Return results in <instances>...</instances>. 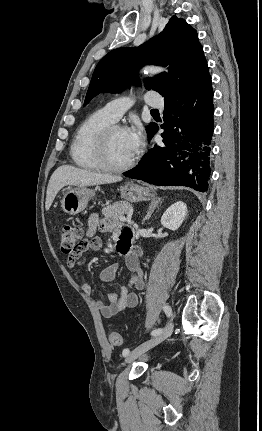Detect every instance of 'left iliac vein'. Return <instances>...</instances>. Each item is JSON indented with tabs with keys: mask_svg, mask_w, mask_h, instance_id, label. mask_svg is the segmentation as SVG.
<instances>
[{
	"mask_svg": "<svg viewBox=\"0 0 262 431\" xmlns=\"http://www.w3.org/2000/svg\"><path fill=\"white\" fill-rule=\"evenodd\" d=\"M173 328H174V324L172 321H170L159 334L153 336L148 341L142 343L141 345L133 349L126 357V362L127 363L134 362L135 360L140 358L144 353H146L148 350L163 342L168 336L171 335Z\"/></svg>",
	"mask_w": 262,
	"mask_h": 431,
	"instance_id": "4c4485c4",
	"label": "left iliac vein"
}]
</instances>
